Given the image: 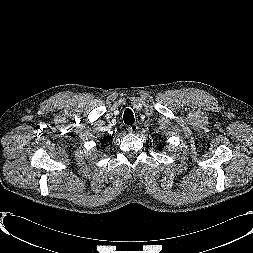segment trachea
<instances>
[{"instance_id":"obj_1","label":"trachea","mask_w":253,"mask_h":253,"mask_svg":"<svg viewBox=\"0 0 253 253\" xmlns=\"http://www.w3.org/2000/svg\"><path fill=\"white\" fill-rule=\"evenodd\" d=\"M123 119L127 125H132L135 122L133 112L130 109L124 111Z\"/></svg>"}]
</instances>
